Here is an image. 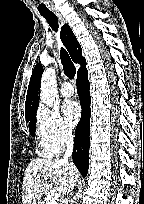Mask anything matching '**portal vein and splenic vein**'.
<instances>
[{"label": "portal vein and splenic vein", "instance_id": "1", "mask_svg": "<svg viewBox=\"0 0 144 204\" xmlns=\"http://www.w3.org/2000/svg\"><path fill=\"white\" fill-rule=\"evenodd\" d=\"M58 198H59V194L56 191H50L47 194L46 199H45L46 204H56V202L58 201Z\"/></svg>", "mask_w": 144, "mask_h": 204}]
</instances>
